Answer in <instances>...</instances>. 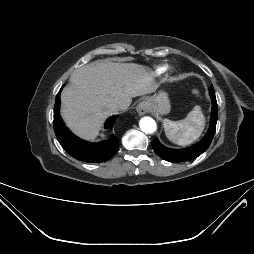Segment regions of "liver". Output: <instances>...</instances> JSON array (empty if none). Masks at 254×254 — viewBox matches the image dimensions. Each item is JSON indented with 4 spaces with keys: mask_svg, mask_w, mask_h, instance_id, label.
<instances>
[{
    "mask_svg": "<svg viewBox=\"0 0 254 254\" xmlns=\"http://www.w3.org/2000/svg\"><path fill=\"white\" fill-rule=\"evenodd\" d=\"M159 84L149 70L134 63L84 65L70 76L61 93V114L67 126L85 139L97 137L113 105H130L133 97L155 92Z\"/></svg>",
    "mask_w": 254,
    "mask_h": 254,
    "instance_id": "1",
    "label": "liver"
}]
</instances>
